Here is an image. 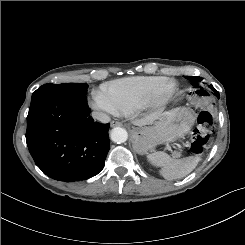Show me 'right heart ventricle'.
<instances>
[{"instance_id":"1","label":"right heart ventricle","mask_w":245,"mask_h":245,"mask_svg":"<svg viewBox=\"0 0 245 245\" xmlns=\"http://www.w3.org/2000/svg\"><path fill=\"white\" fill-rule=\"evenodd\" d=\"M163 76H132L106 82L100 93L116 109L127 115L142 107L149 95L164 81Z\"/></svg>"}]
</instances>
